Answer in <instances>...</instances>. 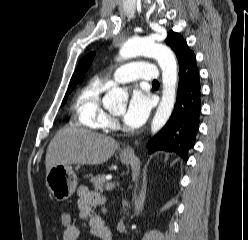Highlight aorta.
<instances>
[{"mask_svg": "<svg viewBox=\"0 0 248 240\" xmlns=\"http://www.w3.org/2000/svg\"><path fill=\"white\" fill-rule=\"evenodd\" d=\"M122 59L136 56L152 57L158 61L162 70V98L151 123V132L157 133L168 121L174 109L177 87V63L173 52L166 46L154 42L151 38L128 40L119 51ZM127 93L119 87H112L103 98L106 106L123 104Z\"/></svg>", "mask_w": 248, "mask_h": 240, "instance_id": "obj_1", "label": "aorta"}]
</instances>
